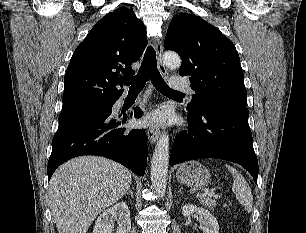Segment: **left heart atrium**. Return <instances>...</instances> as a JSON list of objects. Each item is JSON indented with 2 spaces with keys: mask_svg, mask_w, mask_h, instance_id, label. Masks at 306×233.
Wrapping results in <instances>:
<instances>
[{
  "mask_svg": "<svg viewBox=\"0 0 306 233\" xmlns=\"http://www.w3.org/2000/svg\"><path fill=\"white\" fill-rule=\"evenodd\" d=\"M169 112L164 108H159L148 113L141 121L142 125L149 127H157L167 123Z\"/></svg>",
  "mask_w": 306,
  "mask_h": 233,
  "instance_id": "1",
  "label": "left heart atrium"
}]
</instances>
